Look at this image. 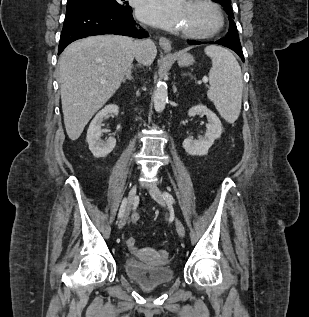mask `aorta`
<instances>
[{"instance_id": "762f6f07", "label": "aorta", "mask_w": 309, "mask_h": 317, "mask_svg": "<svg viewBox=\"0 0 309 317\" xmlns=\"http://www.w3.org/2000/svg\"><path fill=\"white\" fill-rule=\"evenodd\" d=\"M168 100L167 84L164 81H158L154 91L153 101L156 112H162L165 109Z\"/></svg>"}]
</instances>
